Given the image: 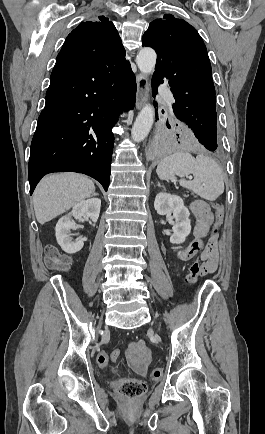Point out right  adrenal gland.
I'll use <instances>...</instances> for the list:
<instances>
[{"instance_id": "1", "label": "right adrenal gland", "mask_w": 265, "mask_h": 434, "mask_svg": "<svg viewBox=\"0 0 265 434\" xmlns=\"http://www.w3.org/2000/svg\"><path fill=\"white\" fill-rule=\"evenodd\" d=\"M93 196H99V194H93Z\"/></svg>"}]
</instances>
